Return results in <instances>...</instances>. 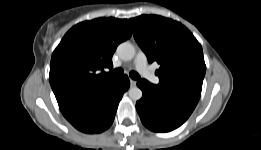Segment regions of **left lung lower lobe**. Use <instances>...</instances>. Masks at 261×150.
I'll use <instances>...</instances> for the list:
<instances>
[{"label": "left lung lower lobe", "mask_w": 261, "mask_h": 150, "mask_svg": "<svg viewBox=\"0 0 261 150\" xmlns=\"http://www.w3.org/2000/svg\"><path fill=\"white\" fill-rule=\"evenodd\" d=\"M143 92L136 102L142 123L155 132H168L181 126L196 107L201 91L182 84L153 85L137 82Z\"/></svg>", "instance_id": "obj_1"}]
</instances>
